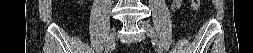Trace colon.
<instances>
[{
    "instance_id": "1",
    "label": "colon",
    "mask_w": 253,
    "mask_h": 53,
    "mask_svg": "<svg viewBox=\"0 0 253 53\" xmlns=\"http://www.w3.org/2000/svg\"><path fill=\"white\" fill-rule=\"evenodd\" d=\"M200 5V0H192V9L194 11L198 10ZM130 46H133V44H130Z\"/></svg>"
}]
</instances>
